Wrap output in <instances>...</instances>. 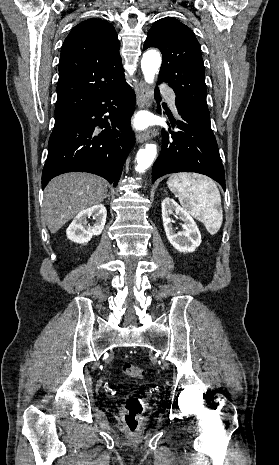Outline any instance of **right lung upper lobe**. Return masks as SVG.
<instances>
[{"label": "right lung upper lobe", "instance_id": "obj_1", "mask_svg": "<svg viewBox=\"0 0 279 465\" xmlns=\"http://www.w3.org/2000/svg\"><path fill=\"white\" fill-rule=\"evenodd\" d=\"M119 49L115 28L105 20L88 19L71 30L59 61L55 125L125 80Z\"/></svg>", "mask_w": 279, "mask_h": 465}]
</instances>
